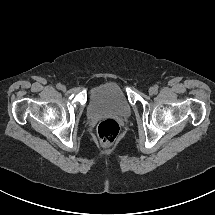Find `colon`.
<instances>
[{
    "label": "colon",
    "mask_w": 215,
    "mask_h": 215,
    "mask_svg": "<svg viewBox=\"0 0 215 215\" xmlns=\"http://www.w3.org/2000/svg\"><path fill=\"white\" fill-rule=\"evenodd\" d=\"M120 126L114 119H105L98 124L97 135L103 146L110 145L118 137Z\"/></svg>",
    "instance_id": "1"
}]
</instances>
